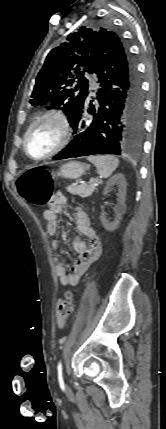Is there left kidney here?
I'll list each match as a JSON object with an SVG mask.
<instances>
[{
	"mask_svg": "<svg viewBox=\"0 0 166 429\" xmlns=\"http://www.w3.org/2000/svg\"><path fill=\"white\" fill-rule=\"evenodd\" d=\"M117 185L118 186V204L114 207V211H115V218L112 222H109L104 213H102L100 220L102 222L103 227L105 228V230L112 232L114 231L121 220L122 215L125 213L126 210V205H125V200H126V180L123 174H115L114 176H112L107 184L106 187L104 188V192L103 194L106 195L109 190L114 186Z\"/></svg>",
	"mask_w": 166,
	"mask_h": 429,
	"instance_id": "5707ae66",
	"label": "left kidney"
}]
</instances>
